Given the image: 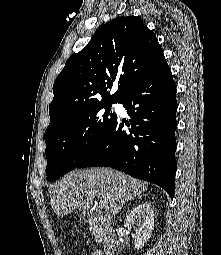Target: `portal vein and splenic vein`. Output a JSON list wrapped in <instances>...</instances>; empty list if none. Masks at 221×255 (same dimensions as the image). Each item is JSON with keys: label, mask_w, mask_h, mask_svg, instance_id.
<instances>
[{"label": "portal vein and splenic vein", "mask_w": 221, "mask_h": 255, "mask_svg": "<svg viewBox=\"0 0 221 255\" xmlns=\"http://www.w3.org/2000/svg\"><path fill=\"white\" fill-rule=\"evenodd\" d=\"M99 205H100L101 208H104L103 204L99 203Z\"/></svg>", "instance_id": "portal-vein-and-splenic-vein-1"}]
</instances>
